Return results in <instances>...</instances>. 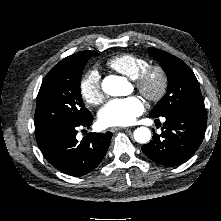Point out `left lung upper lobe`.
I'll return each instance as SVG.
<instances>
[{"label":"left lung upper lobe","mask_w":221,"mask_h":221,"mask_svg":"<svg viewBox=\"0 0 221 221\" xmlns=\"http://www.w3.org/2000/svg\"><path fill=\"white\" fill-rule=\"evenodd\" d=\"M168 76L167 94L150 112L160 117L180 110L205 111L199 83L193 71L179 58L160 49L149 48Z\"/></svg>","instance_id":"obj_1"}]
</instances>
